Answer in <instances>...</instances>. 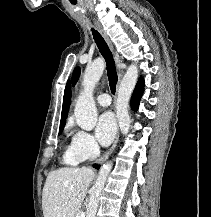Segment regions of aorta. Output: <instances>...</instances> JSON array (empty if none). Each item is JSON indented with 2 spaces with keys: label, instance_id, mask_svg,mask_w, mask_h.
<instances>
[{
  "label": "aorta",
  "instance_id": "aorta-1",
  "mask_svg": "<svg viewBox=\"0 0 211 217\" xmlns=\"http://www.w3.org/2000/svg\"><path fill=\"white\" fill-rule=\"evenodd\" d=\"M105 63L101 58L89 64L83 75V91L79 96L74 110V116L79 127L86 131L92 130L97 122V109L93 99V89L100 80ZM138 79V67L131 64L119 85L117 93V118L122 134L129 132L131 119L128 112L130 96ZM112 163L107 162L99 171L97 180L92 187L86 217H96L101 192L105 186Z\"/></svg>",
  "mask_w": 211,
  "mask_h": 217
}]
</instances>
